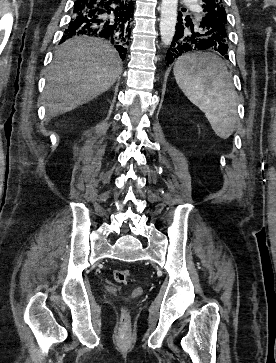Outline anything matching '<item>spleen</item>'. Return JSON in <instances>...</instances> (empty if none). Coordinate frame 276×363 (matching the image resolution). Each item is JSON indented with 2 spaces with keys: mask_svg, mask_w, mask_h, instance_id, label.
Segmentation results:
<instances>
[{
  "mask_svg": "<svg viewBox=\"0 0 276 363\" xmlns=\"http://www.w3.org/2000/svg\"><path fill=\"white\" fill-rule=\"evenodd\" d=\"M174 76L215 134L229 138L237 119V94L224 61L210 52L187 54L176 61Z\"/></svg>",
  "mask_w": 276,
  "mask_h": 363,
  "instance_id": "obj_1",
  "label": "spleen"
}]
</instances>
